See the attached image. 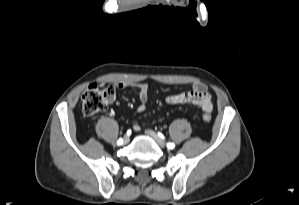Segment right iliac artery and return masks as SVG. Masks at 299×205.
Segmentation results:
<instances>
[{"mask_svg":"<svg viewBox=\"0 0 299 205\" xmlns=\"http://www.w3.org/2000/svg\"><path fill=\"white\" fill-rule=\"evenodd\" d=\"M122 143H123V139L120 138V139L117 141V144H118V145H121Z\"/></svg>","mask_w":299,"mask_h":205,"instance_id":"82829eb1","label":"right iliac artery"}]
</instances>
